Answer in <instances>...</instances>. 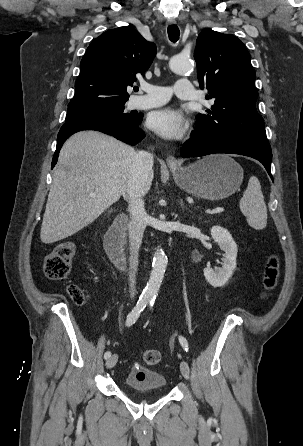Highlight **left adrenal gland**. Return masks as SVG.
I'll return each mask as SVG.
<instances>
[{
    "mask_svg": "<svg viewBox=\"0 0 303 446\" xmlns=\"http://www.w3.org/2000/svg\"><path fill=\"white\" fill-rule=\"evenodd\" d=\"M181 206H182V208H185V206H184V203H183V201L181 200Z\"/></svg>",
    "mask_w": 303,
    "mask_h": 446,
    "instance_id": "obj_1",
    "label": "left adrenal gland"
}]
</instances>
